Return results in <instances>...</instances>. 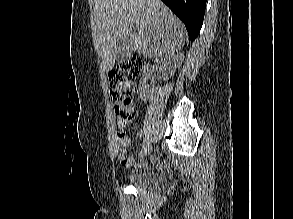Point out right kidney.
<instances>
[{"label": "right kidney", "mask_w": 293, "mask_h": 219, "mask_svg": "<svg viewBox=\"0 0 293 219\" xmlns=\"http://www.w3.org/2000/svg\"><path fill=\"white\" fill-rule=\"evenodd\" d=\"M182 60V56L180 55H168L161 57L160 63L162 64L163 70H162V79L164 81L168 80L169 77H171L175 71L176 68L180 65V62ZM153 70V67L150 65L144 66L143 74L140 79L139 83V91L140 95L143 98H147L149 94L151 93V88L147 84V80L150 78V73Z\"/></svg>", "instance_id": "1"}]
</instances>
